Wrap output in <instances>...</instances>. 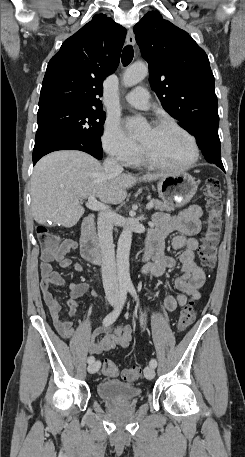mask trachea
Here are the masks:
<instances>
[{
  "mask_svg": "<svg viewBox=\"0 0 245 457\" xmlns=\"http://www.w3.org/2000/svg\"><path fill=\"white\" fill-rule=\"evenodd\" d=\"M134 56V51L131 45H127L124 47L123 52H122V63L124 66H127L133 59Z\"/></svg>",
  "mask_w": 245,
  "mask_h": 457,
  "instance_id": "trachea-1",
  "label": "trachea"
}]
</instances>
